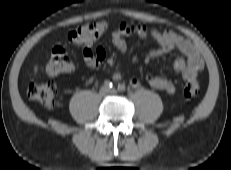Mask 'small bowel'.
<instances>
[{
	"label": "small bowel",
	"instance_id": "1",
	"mask_svg": "<svg viewBox=\"0 0 231 170\" xmlns=\"http://www.w3.org/2000/svg\"><path fill=\"white\" fill-rule=\"evenodd\" d=\"M128 36H137L141 39L150 38L159 44L158 49L151 50L147 59H152L163 54L169 53L173 50L179 51L184 58H177L174 61L173 69L176 75L181 76L185 80H193L198 73L203 69L204 62L193 43L186 37L174 31H160L156 28H147L144 25L132 24L128 21H122L117 30L112 33V43L117 51L125 56L127 53V43L125 38ZM83 56L86 64L89 67H98L105 58L103 49H91L86 46L83 49ZM113 79L118 81L121 79V74L115 72ZM148 84L157 90L164 91L168 94L175 92V85L169 79L160 75H150L147 77ZM130 84L133 87L139 86L137 78H131Z\"/></svg>",
	"mask_w": 231,
	"mask_h": 170
}]
</instances>
